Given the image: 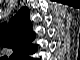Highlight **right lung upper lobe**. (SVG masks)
I'll return each mask as SVG.
<instances>
[{
    "label": "right lung upper lobe",
    "instance_id": "right-lung-upper-lobe-1",
    "mask_svg": "<svg viewBox=\"0 0 80 60\" xmlns=\"http://www.w3.org/2000/svg\"><path fill=\"white\" fill-rule=\"evenodd\" d=\"M35 33L32 31L30 11L22 8L10 21L9 28L6 26L5 33L1 37L4 46L13 49V55H19L26 59L27 53H32L34 46L32 41Z\"/></svg>",
    "mask_w": 80,
    "mask_h": 60
}]
</instances>
